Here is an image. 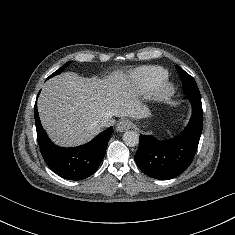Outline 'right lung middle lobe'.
I'll list each match as a JSON object with an SVG mask.
<instances>
[{
    "instance_id": "right-lung-middle-lobe-1",
    "label": "right lung middle lobe",
    "mask_w": 235,
    "mask_h": 235,
    "mask_svg": "<svg viewBox=\"0 0 235 235\" xmlns=\"http://www.w3.org/2000/svg\"><path fill=\"white\" fill-rule=\"evenodd\" d=\"M68 64H69V62L66 63V64H65L63 67H61L60 69H58L57 71H55L53 74H51L47 79H49V78H51V77H53V76H55V75L60 74V73L64 70V68H66V67L68 66Z\"/></svg>"
}]
</instances>
